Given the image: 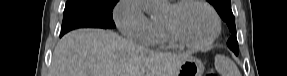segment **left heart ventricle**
<instances>
[{"instance_id":"1","label":"left heart ventricle","mask_w":287,"mask_h":76,"mask_svg":"<svg viewBox=\"0 0 287 76\" xmlns=\"http://www.w3.org/2000/svg\"><path fill=\"white\" fill-rule=\"evenodd\" d=\"M177 24L182 35L193 43L206 41L214 31L210 12L197 4L185 6L178 14Z\"/></svg>"}]
</instances>
